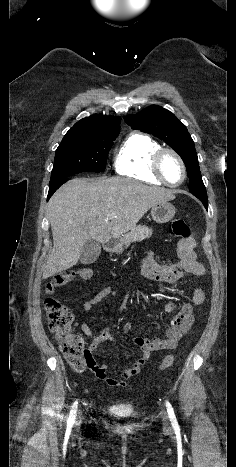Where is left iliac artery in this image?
Returning a JSON list of instances; mask_svg holds the SVG:
<instances>
[{"instance_id": "left-iliac-artery-1", "label": "left iliac artery", "mask_w": 236, "mask_h": 467, "mask_svg": "<svg viewBox=\"0 0 236 467\" xmlns=\"http://www.w3.org/2000/svg\"><path fill=\"white\" fill-rule=\"evenodd\" d=\"M165 405H166L167 412H168L172 426L174 428L179 427L172 405L170 404L169 401H166Z\"/></svg>"}]
</instances>
